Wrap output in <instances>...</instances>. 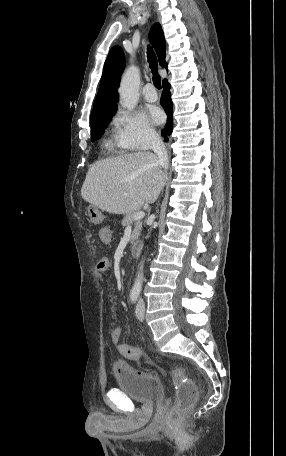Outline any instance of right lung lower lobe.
Listing matches in <instances>:
<instances>
[{
    "label": "right lung lower lobe",
    "instance_id": "right-lung-lower-lobe-1",
    "mask_svg": "<svg viewBox=\"0 0 286 456\" xmlns=\"http://www.w3.org/2000/svg\"><path fill=\"white\" fill-rule=\"evenodd\" d=\"M163 92L161 96V105L165 109L167 115H168V122L165 126V131L163 132V135L166 136L167 134H170L172 132V127H173V104L171 100V94H170V84L168 81L165 79L163 80ZM165 141H167V137H165Z\"/></svg>",
    "mask_w": 286,
    "mask_h": 456
}]
</instances>
